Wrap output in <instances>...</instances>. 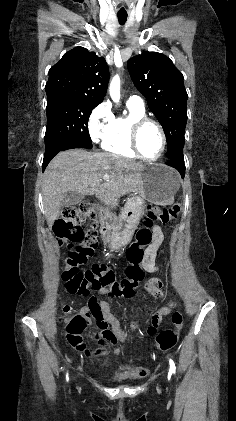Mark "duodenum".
<instances>
[{"instance_id":"obj_1","label":"duodenum","mask_w":236,"mask_h":421,"mask_svg":"<svg viewBox=\"0 0 236 421\" xmlns=\"http://www.w3.org/2000/svg\"><path fill=\"white\" fill-rule=\"evenodd\" d=\"M80 210L85 217L90 218V217L96 216L97 211H98V206L91 201L85 200L80 204ZM107 334L109 335L110 337L109 340H110L111 338L115 337L116 333L108 331Z\"/></svg>"}]
</instances>
